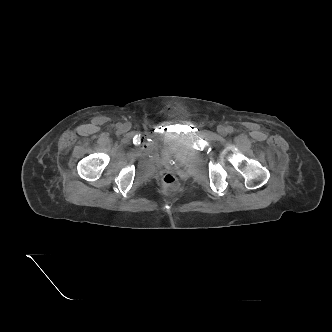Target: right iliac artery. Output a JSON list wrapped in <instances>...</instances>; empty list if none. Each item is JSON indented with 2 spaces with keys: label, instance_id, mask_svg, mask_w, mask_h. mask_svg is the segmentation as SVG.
Here are the masks:
<instances>
[{
  "label": "right iliac artery",
  "instance_id": "right-iliac-artery-1",
  "mask_svg": "<svg viewBox=\"0 0 332 332\" xmlns=\"http://www.w3.org/2000/svg\"><path fill=\"white\" fill-rule=\"evenodd\" d=\"M121 127H122V124L118 123L117 128H121Z\"/></svg>",
  "mask_w": 332,
  "mask_h": 332
}]
</instances>
